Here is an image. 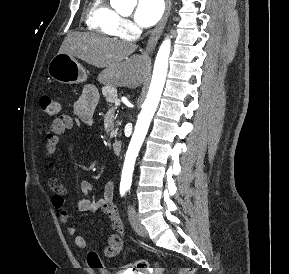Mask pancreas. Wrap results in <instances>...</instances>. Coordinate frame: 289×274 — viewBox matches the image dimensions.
<instances>
[{
  "label": "pancreas",
  "mask_w": 289,
  "mask_h": 274,
  "mask_svg": "<svg viewBox=\"0 0 289 274\" xmlns=\"http://www.w3.org/2000/svg\"><path fill=\"white\" fill-rule=\"evenodd\" d=\"M103 95L106 98L107 103L112 104L118 99L117 90L112 86H107L102 89ZM117 135V130L110 133V137L113 138Z\"/></svg>",
  "instance_id": "obj_1"
}]
</instances>
